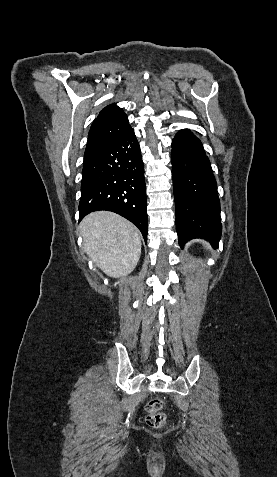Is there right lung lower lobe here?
Segmentation results:
<instances>
[{
  "instance_id": "98d812e1",
  "label": "right lung lower lobe",
  "mask_w": 277,
  "mask_h": 477,
  "mask_svg": "<svg viewBox=\"0 0 277 477\" xmlns=\"http://www.w3.org/2000/svg\"><path fill=\"white\" fill-rule=\"evenodd\" d=\"M80 218L99 210L115 212L141 231L147 243L144 165L132 128L112 144L84 155Z\"/></svg>"
}]
</instances>
